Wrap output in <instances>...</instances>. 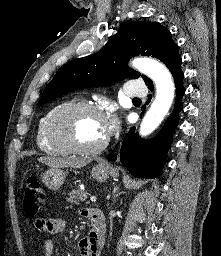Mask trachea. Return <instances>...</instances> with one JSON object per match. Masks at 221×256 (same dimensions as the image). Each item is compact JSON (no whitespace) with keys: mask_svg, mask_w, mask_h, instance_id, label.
<instances>
[{"mask_svg":"<svg viewBox=\"0 0 221 256\" xmlns=\"http://www.w3.org/2000/svg\"><path fill=\"white\" fill-rule=\"evenodd\" d=\"M133 100H135V101H140V99H139V98H134Z\"/></svg>","mask_w":221,"mask_h":256,"instance_id":"obj_1","label":"trachea"}]
</instances>
